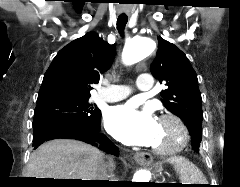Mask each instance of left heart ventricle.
I'll use <instances>...</instances> for the list:
<instances>
[{"label":"left heart ventricle","instance_id":"obj_1","mask_svg":"<svg viewBox=\"0 0 240 187\" xmlns=\"http://www.w3.org/2000/svg\"><path fill=\"white\" fill-rule=\"evenodd\" d=\"M158 126V134L152 147H165L176 141L177 131L171 123L159 122Z\"/></svg>","mask_w":240,"mask_h":187}]
</instances>
